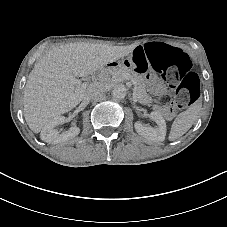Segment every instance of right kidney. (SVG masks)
Returning a JSON list of instances; mask_svg holds the SVG:
<instances>
[{
	"instance_id": "obj_1",
	"label": "right kidney",
	"mask_w": 227,
	"mask_h": 227,
	"mask_svg": "<svg viewBox=\"0 0 227 227\" xmlns=\"http://www.w3.org/2000/svg\"><path fill=\"white\" fill-rule=\"evenodd\" d=\"M68 118L58 115L54 118L50 119L42 128L40 132V138L51 144H56L60 142H66L75 136H77L80 132V129L76 126H71L66 132L60 134L59 130L56 128L58 125L67 122Z\"/></svg>"
}]
</instances>
